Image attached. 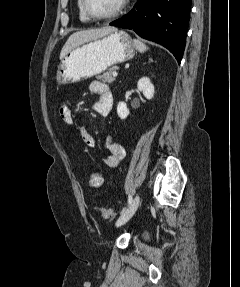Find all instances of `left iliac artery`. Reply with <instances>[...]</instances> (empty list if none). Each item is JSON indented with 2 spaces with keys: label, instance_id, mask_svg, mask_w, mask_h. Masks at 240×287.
Returning <instances> with one entry per match:
<instances>
[{
  "label": "left iliac artery",
  "instance_id": "1",
  "mask_svg": "<svg viewBox=\"0 0 240 287\" xmlns=\"http://www.w3.org/2000/svg\"><path fill=\"white\" fill-rule=\"evenodd\" d=\"M131 202H132V196L129 195V197H128V204H131Z\"/></svg>",
  "mask_w": 240,
  "mask_h": 287
}]
</instances>
